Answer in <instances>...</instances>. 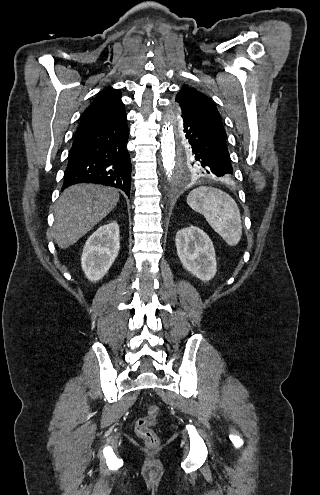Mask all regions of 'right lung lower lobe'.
I'll return each instance as SVG.
<instances>
[{
    "label": "right lung lower lobe",
    "instance_id": "98d812e1",
    "mask_svg": "<svg viewBox=\"0 0 320 495\" xmlns=\"http://www.w3.org/2000/svg\"><path fill=\"white\" fill-rule=\"evenodd\" d=\"M127 121L77 132L68 156L62 190L88 182L120 188L130 197L131 160Z\"/></svg>",
    "mask_w": 320,
    "mask_h": 495
}]
</instances>
